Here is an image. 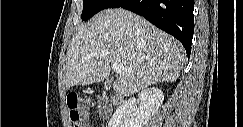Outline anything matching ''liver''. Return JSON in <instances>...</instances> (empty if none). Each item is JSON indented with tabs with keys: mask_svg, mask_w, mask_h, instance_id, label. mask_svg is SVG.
<instances>
[{
	"mask_svg": "<svg viewBox=\"0 0 243 127\" xmlns=\"http://www.w3.org/2000/svg\"><path fill=\"white\" fill-rule=\"evenodd\" d=\"M124 69L112 87L130 96L158 82H174L186 62L183 46L146 19L124 9H106L78 29L68 51L65 87L104 81L110 64Z\"/></svg>",
	"mask_w": 243,
	"mask_h": 127,
	"instance_id": "obj_1",
	"label": "liver"
}]
</instances>
